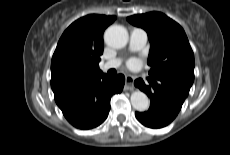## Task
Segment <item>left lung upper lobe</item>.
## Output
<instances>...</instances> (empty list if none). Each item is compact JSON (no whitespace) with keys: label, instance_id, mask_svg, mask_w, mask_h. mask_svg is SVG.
I'll use <instances>...</instances> for the list:
<instances>
[{"label":"left lung upper lobe","instance_id":"5c2ea615","mask_svg":"<svg viewBox=\"0 0 230 155\" xmlns=\"http://www.w3.org/2000/svg\"><path fill=\"white\" fill-rule=\"evenodd\" d=\"M127 20L148 33L149 75L189 92L194 81V54L183 28L160 12L133 15Z\"/></svg>","mask_w":230,"mask_h":155}]
</instances>
